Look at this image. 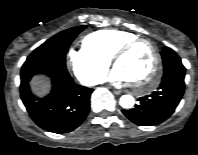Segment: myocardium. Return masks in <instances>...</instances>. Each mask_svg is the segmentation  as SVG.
<instances>
[{
	"label": "myocardium",
	"instance_id": "1",
	"mask_svg": "<svg viewBox=\"0 0 198 155\" xmlns=\"http://www.w3.org/2000/svg\"><path fill=\"white\" fill-rule=\"evenodd\" d=\"M139 43H146L150 46L152 49V53L154 56V62L152 69L148 76L142 81V82H132V85L139 89L143 93H147L150 90H152L154 87L157 86L159 77H160V70H161V55L159 52V49L155 42L148 38L143 37H135L124 44H122L113 54L112 56V63L116 65V62L123 57L125 54H127L133 47H135Z\"/></svg>",
	"mask_w": 198,
	"mask_h": 155
}]
</instances>
